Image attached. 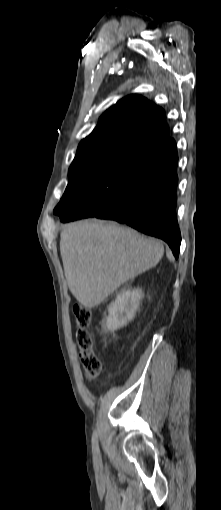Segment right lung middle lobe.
<instances>
[{"instance_id":"dd1d6c3e","label":"right lung middle lobe","mask_w":221,"mask_h":510,"mask_svg":"<svg viewBox=\"0 0 221 510\" xmlns=\"http://www.w3.org/2000/svg\"><path fill=\"white\" fill-rule=\"evenodd\" d=\"M151 153L130 147L74 159L68 172V186L54 214L70 215L80 204L90 212L112 207Z\"/></svg>"}]
</instances>
